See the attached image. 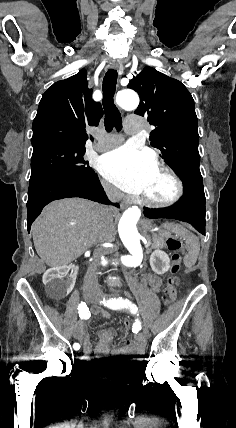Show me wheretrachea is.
<instances>
[{
  "label": "trachea",
  "instance_id": "3493384b",
  "mask_svg": "<svg viewBox=\"0 0 236 428\" xmlns=\"http://www.w3.org/2000/svg\"><path fill=\"white\" fill-rule=\"evenodd\" d=\"M117 84V70L110 68L104 77L103 91V107H104V125L107 132H111L113 127L118 131L122 129V119L118 108L114 104V94Z\"/></svg>",
  "mask_w": 236,
  "mask_h": 428
}]
</instances>
